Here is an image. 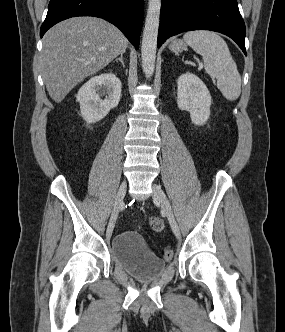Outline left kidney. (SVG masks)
<instances>
[{"label": "left kidney", "instance_id": "left-kidney-1", "mask_svg": "<svg viewBox=\"0 0 285 332\" xmlns=\"http://www.w3.org/2000/svg\"><path fill=\"white\" fill-rule=\"evenodd\" d=\"M211 95L203 81L186 72L177 81V105L190 113L195 125H204L210 116Z\"/></svg>", "mask_w": 285, "mask_h": 332}]
</instances>
